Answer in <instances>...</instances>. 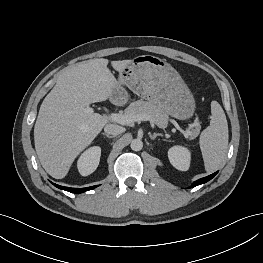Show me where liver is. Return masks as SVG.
Returning <instances> with one entry per match:
<instances>
[{
  "mask_svg": "<svg viewBox=\"0 0 263 263\" xmlns=\"http://www.w3.org/2000/svg\"><path fill=\"white\" fill-rule=\"evenodd\" d=\"M131 60L112 61L121 72ZM107 59L80 62L63 72L43 100L34 127L41 165L55 179L64 178L73 161L107 124L102 115L85 109L107 100L117 81Z\"/></svg>",
  "mask_w": 263,
  "mask_h": 263,
  "instance_id": "liver-1",
  "label": "liver"
}]
</instances>
